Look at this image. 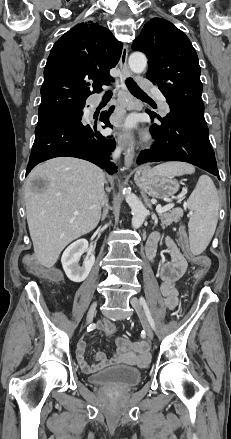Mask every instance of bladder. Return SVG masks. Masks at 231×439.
Returning a JSON list of instances; mask_svg holds the SVG:
<instances>
[{
	"label": "bladder",
	"instance_id": "1",
	"mask_svg": "<svg viewBox=\"0 0 231 439\" xmlns=\"http://www.w3.org/2000/svg\"><path fill=\"white\" fill-rule=\"evenodd\" d=\"M88 380L91 384L97 386L130 388L141 381V373L137 368L119 365L92 374Z\"/></svg>",
	"mask_w": 231,
	"mask_h": 439
}]
</instances>
